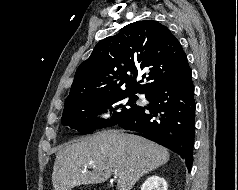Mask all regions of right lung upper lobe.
Here are the masks:
<instances>
[{
	"mask_svg": "<svg viewBox=\"0 0 238 190\" xmlns=\"http://www.w3.org/2000/svg\"><path fill=\"white\" fill-rule=\"evenodd\" d=\"M186 64L180 42L166 26L152 20L128 24L118 34L99 42L80 64L64 108L83 94H148L180 73ZM141 73L146 79L144 84L136 82Z\"/></svg>",
	"mask_w": 238,
	"mask_h": 190,
	"instance_id": "cb5924a9",
	"label": "right lung upper lobe"
}]
</instances>
